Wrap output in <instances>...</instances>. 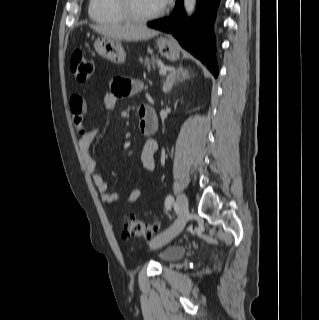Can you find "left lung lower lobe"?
Wrapping results in <instances>:
<instances>
[{
	"mask_svg": "<svg viewBox=\"0 0 319 320\" xmlns=\"http://www.w3.org/2000/svg\"><path fill=\"white\" fill-rule=\"evenodd\" d=\"M218 3L219 0H198V13L194 19L189 20L185 15L183 0H176L174 11L168 18L149 22L147 25L171 33L217 77L218 67L212 27Z\"/></svg>",
	"mask_w": 319,
	"mask_h": 320,
	"instance_id": "0a47b994",
	"label": "left lung lower lobe"
}]
</instances>
